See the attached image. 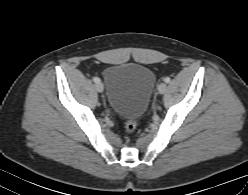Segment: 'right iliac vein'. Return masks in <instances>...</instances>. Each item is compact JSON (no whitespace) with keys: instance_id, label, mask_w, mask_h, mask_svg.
Instances as JSON below:
<instances>
[{"instance_id":"63e3f726","label":"right iliac vein","mask_w":248,"mask_h":195,"mask_svg":"<svg viewBox=\"0 0 248 195\" xmlns=\"http://www.w3.org/2000/svg\"><path fill=\"white\" fill-rule=\"evenodd\" d=\"M95 89L98 91V92H103L104 91V87H103V84L102 83H96L95 85Z\"/></svg>"}]
</instances>
